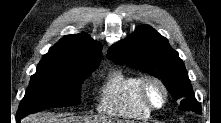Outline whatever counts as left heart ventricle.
<instances>
[{
    "mask_svg": "<svg viewBox=\"0 0 221 123\" xmlns=\"http://www.w3.org/2000/svg\"><path fill=\"white\" fill-rule=\"evenodd\" d=\"M149 96L155 104H160L163 100L162 91L155 85L149 87Z\"/></svg>",
    "mask_w": 221,
    "mask_h": 123,
    "instance_id": "obj_1",
    "label": "left heart ventricle"
}]
</instances>
